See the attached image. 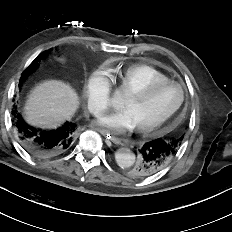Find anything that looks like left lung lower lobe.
I'll list each match as a JSON object with an SVG mask.
<instances>
[{"label": "left lung lower lobe", "mask_w": 232, "mask_h": 232, "mask_svg": "<svg viewBox=\"0 0 232 232\" xmlns=\"http://www.w3.org/2000/svg\"><path fill=\"white\" fill-rule=\"evenodd\" d=\"M177 150L171 142L164 138L146 142L139 149V160L131 171L132 176L135 178L148 177L161 171L171 162Z\"/></svg>", "instance_id": "obj_1"}]
</instances>
